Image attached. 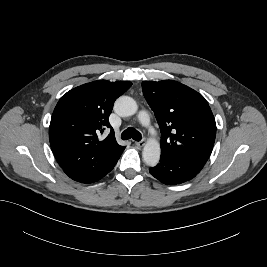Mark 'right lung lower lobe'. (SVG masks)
<instances>
[{"instance_id": "right-lung-lower-lobe-1", "label": "right lung lower lobe", "mask_w": 267, "mask_h": 267, "mask_svg": "<svg viewBox=\"0 0 267 267\" xmlns=\"http://www.w3.org/2000/svg\"><path fill=\"white\" fill-rule=\"evenodd\" d=\"M124 150V149H123ZM123 150L113 158L108 164L103 165V167L97 171H78L72 169H63L64 172L73 180L81 183H92L103 178L107 173H109L116 165L119 157L121 156Z\"/></svg>"}]
</instances>
